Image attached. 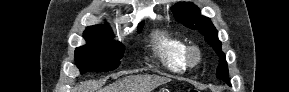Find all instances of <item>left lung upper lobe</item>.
I'll return each mask as SVG.
<instances>
[{
  "label": "left lung upper lobe",
  "mask_w": 289,
  "mask_h": 92,
  "mask_svg": "<svg viewBox=\"0 0 289 92\" xmlns=\"http://www.w3.org/2000/svg\"><path fill=\"white\" fill-rule=\"evenodd\" d=\"M176 20L184 26L198 30L204 35L205 40L213 47L220 56L216 77L229 83L228 67L225 54L221 50V42L218 39V32L211 20L200 14V9L190 2H178L171 8Z\"/></svg>",
  "instance_id": "5c2ea615"
}]
</instances>
